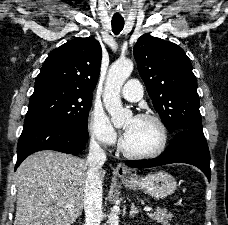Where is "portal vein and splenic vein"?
<instances>
[{
	"label": "portal vein and splenic vein",
	"instance_id": "1",
	"mask_svg": "<svg viewBox=\"0 0 228 225\" xmlns=\"http://www.w3.org/2000/svg\"><path fill=\"white\" fill-rule=\"evenodd\" d=\"M176 207H183V202H176ZM144 211H152L151 207H144Z\"/></svg>",
	"mask_w": 228,
	"mask_h": 225
}]
</instances>
